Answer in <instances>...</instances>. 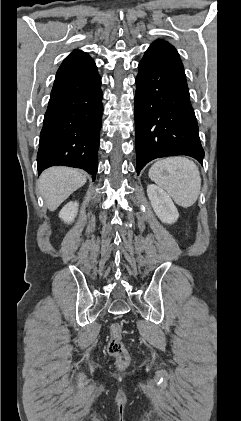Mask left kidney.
I'll return each mask as SVG.
<instances>
[{"label":"left kidney","mask_w":241,"mask_h":421,"mask_svg":"<svg viewBox=\"0 0 241 421\" xmlns=\"http://www.w3.org/2000/svg\"><path fill=\"white\" fill-rule=\"evenodd\" d=\"M147 195L154 212L163 223L172 224L177 221L178 210L170 196L162 188L150 184L147 186Z\"/></svg>","instance_id":"obj_1"}]
</instances>
